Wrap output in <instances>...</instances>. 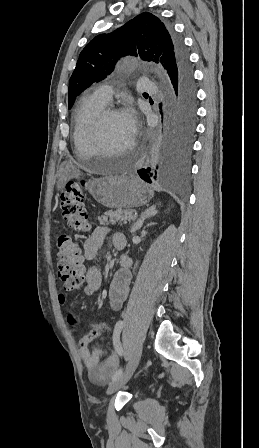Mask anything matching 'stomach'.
Instances as JSON below:
<instances>
[{
  "label": "stomach",
  "instance_id": "obj_1",
  "mask_svg": "<svg viewBox=\"0 0 259 448\" xmlns=\"http://www.w3.org/2000/svg\"><path fill=\"white\" fill-rule=\"evenodd\" d=\"M75 174V168L70 162H62L58 168V190H63L66 182H69Z\"/></svg>",
  "mask_w": 259,
  "mask_h": 448
}]
</instances>
